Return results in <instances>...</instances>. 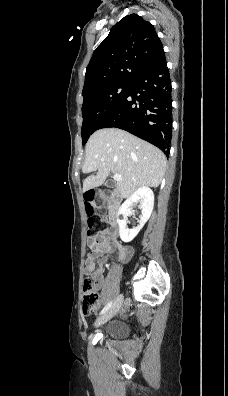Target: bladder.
Returning a JSON list of instances; mask_svg holds the SVG:
<instances>
[{"mask_svg":"<svg viewBox=\"0 0 228 396\" xmlns=\"http://www.w3.org/2000/svg\"><path fill=\"white\" fill-rule=\"evenodd\" d=\"M126 333V328L122 324H112L104 330V335L111 339H121Z\"/></svg>","mask_w":228,"mask_h":396,"instance_id":"1","label":"bladder"}]
</instances>
